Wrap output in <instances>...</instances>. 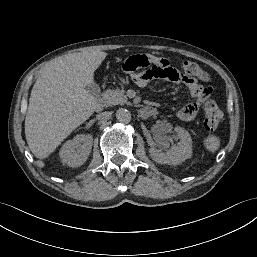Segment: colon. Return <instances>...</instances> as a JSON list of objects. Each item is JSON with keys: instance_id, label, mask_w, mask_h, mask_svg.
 <instances>
[{"instance_id": "5ec220e1", "label": "colon", "mask_w": 257, "mask_h": 257, "mask_svg": "<svg viewBox=\"0 0 257 257\" xmlns=\"http://www.w3.org/2000/svg\"><path fill=\"white\" fill-rule=\"evenodd\" d=\"M183 70L188 74L193 75L196 80L207 81L209 79L208 73L196 63L185 62L183 64ZM203 110L205 116L204 125L206 129L211 132L215 131L223 121L219 106L214 101H207L203 105Z\"/></svg>"}]
</instances>
